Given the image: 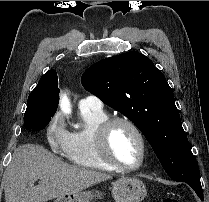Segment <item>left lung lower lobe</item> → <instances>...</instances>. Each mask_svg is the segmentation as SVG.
Returning <instances> with one entry per match:
<instances>
[{"mask_svg": "<svg viewBox=\"0 0 209 202\" xmlns=\"http://www.w3.org/2000/svg\"><path fill=\"white\" fill-rule=\"evenodd\" d=\"M183 182H186L188 185H190L194 189V191L197 193L199 198L203 200V191H202L200 179L186 180Z\"/></svg>", "mask_w": 209, "mask_h": 202, "instance_id": "obj_1", "label": "left lung lower lobe"}]
</instances>
